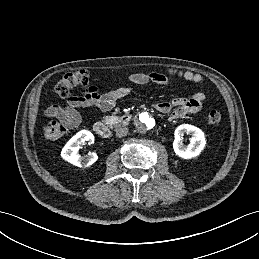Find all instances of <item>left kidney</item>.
Instances as JSON below:
<instances>
[{
  "label": "left kidney",
  "mask_w": 259,
  "mask_h": 259,
  "mask_svg": "<svg viewBox=\"0 0 259 259\" xmlns=\"http://www.w3.org/2000/svg\"><path fill=\"white\" fill-rule=\"evenodd\" d=\"M185 133L191 135L190 143L188 145L182 143V138ZM174 136V152L183 159H191L198 156L206 145L204 132L193 125L183 124L178 126Z\"/></svg>",
  "instance_id": "1"
}]
</instances>
